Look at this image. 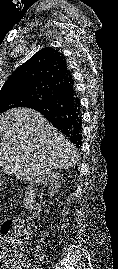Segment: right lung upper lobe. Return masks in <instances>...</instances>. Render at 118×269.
I'll return each instance as SVG.
<instances>
[{
	"label": "right lung upper lobe",
	"mask_w": 118,
	"mask_h": 269,
	"mask_svg": "<svg viewBox=\"0 0 118 269\" xmlns=\"http://www.w3.org/2000/svg\"><path fill=\"white\" fill-rule=\"evenodd\" d=\"M72 84L64 55L46 47L12 73L2 87L0 97L8 94L31 95L41 102Z\"/></svg>",
	"instance_id": "obj_1"
}]
</instances>
